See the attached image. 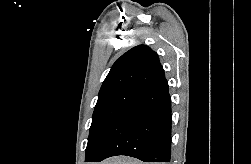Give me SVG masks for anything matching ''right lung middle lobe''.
Returning <instances> with one entry per match:
<instances>
[{
  "mask_svg": "<svg viewBox=\"0 0 251 164\" xmlns=\"http://www.w3.org/2000/svg\"><path fill=\"white\" fill-rule=\"evenodd\" d=\"M140 94L141 90L137 88H120L99 95L92 117L86 159L92 154L113 122Z\"/></svg>",
  "mask_w": 251,
  "mask_h": 164,
  "instance_id": "obj_1",
  "label": "right lung middle lobe"
}]
</instances>
